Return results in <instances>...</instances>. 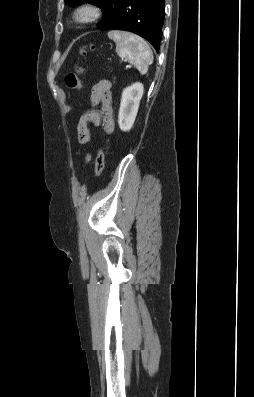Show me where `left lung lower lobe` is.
<instances>
[{
  "label": "left lung lower lobe",
  "instance_id": "0a47b994",
  "mask_svg": "<svg viewBox=\"0 0 254 397\" xmlns=\"http://www.w3.org/2000/svg\"><path fill=\"white\" fill-rule=\"evenodd\" d=\"M165 16L164 0H109L99 30L131 31L159 51Z\"/></svg>",
  "mask_w": 254,
  "mask_h": 397
}]
</instances>
